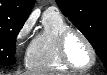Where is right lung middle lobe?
Returning <instances> with one entry per match:
<instances>
[{"label":"right lung middle lobe","mask_w":107,"mask_h":75,"mask_svg":"<svg viewBox=\"0 0 107 75\" xmlns=\"http://www.w3.org/2000/svg\"><path fill=\"white\" fill-rule=\"evenodd\" d=\"M24 23L9 25L0 29V65H13L16 62V36Z\"/></svg>","instance_id":"dd1d6c3e"}]
</instances>
